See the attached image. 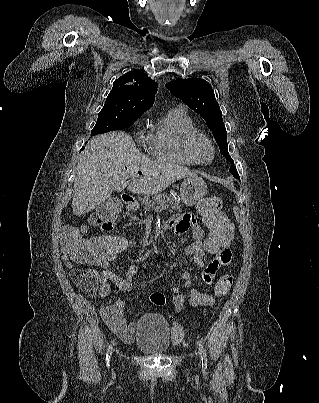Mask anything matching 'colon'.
<instances>
[{"mask_svg": "<svg viewBox=\"0 0 319 403\" xmlns=\"http://www.w3.org/2000/svg\"><path fill=\"white\" fill-rule=\"evenodd\" d=\"M222 205L223 200L219 196L209 197L200 205V213L208 228L206 242L208 250L207 256L204 258L206 263H210L212 258H217L218 251H222L223 247H230V243H235L234 223L231 218H224ZM123 208V201H112L111 208L95 214L91 218V223L100 229L97 234H88L87 240L77 227L64 228L61 243L68 259L83 264L99 258H125L126 254H133L136 249V240H132L131 234H119L118 230H113L118 210H123ZM71 278L86 294L93 295L98 291L100 281L92 269H75ZM181 281L187 286L185 291L179 292L180 300H188L190 296L200 295L201 283L195 282V275H182ZM232 283L233 277L230 274L222 275L215 285V294L218 297L225 296ZM173 288H177V285H173ZM180 288H183V285H180ZM151 301L155 305L162 306L165 304L166 298L163 293L154 292L151 295ZM184 334L183 325L174 322L171 327L173 342L180 344L184 339Z\"/></svg>", "mask_w": 319, "mask_h": 403, "instance_id": "5ec220e1", "label": "colon"}]
</instances>
